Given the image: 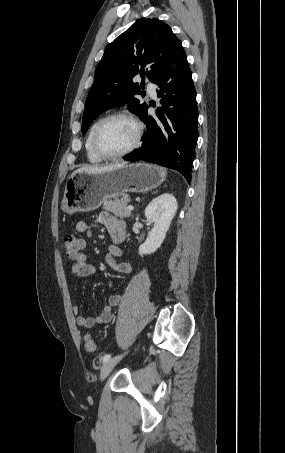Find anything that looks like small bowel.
Here are the masks:
<instances>
[{
	"instance_id": "c3829d8e",
	"label": "small bowel",
	"mask_w": 285,
	"mask_h": 453,
	"mask_svg": "<svg viewBox=\"0 0 285 453\" xmlns=\"http://www.w3.org/2000/svg\"><path fill=\"white\" fill-rule=\"evenodd\" d=\"M95 223L103 225L110 237L112 244L109 248V253L105 256L106 264L118 273L128 274L132 272L131 264L127 262H117L116 257L122 255L121 250L116 246L122 243L126 237V223L117 219L115 216L107 212L100 213L94 221ZM93 223L87 220H81L76 224V230L80 233H85L91 236ZM72 273L79 279L87 278L96 274L94 265L87 262L85 253L80 254L75 263L72 265ZM110 285H112L110 283ZM120 302L119 295H111L108 297L107 303L102 312L97 316L84 317L79 315V307L74 305L72 312L75 315L76 324L83 328H92L95 325L108 323L112 319V310Z\"/></svg>"
}]
</instances>
